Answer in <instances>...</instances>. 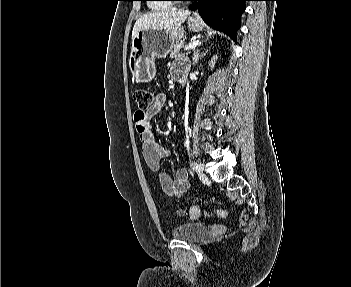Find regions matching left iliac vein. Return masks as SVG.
<instances>
[{
    "mask_svg": "<svg viewBox=\"0 0 351 287\" xmlns=\"http://www.w3.org/2000/svg\"><path fill=\"white\" fill-rule=\"evenodd\" d=\"M196 172H197V175L200 177V178H205V173H204V165L203 164H198V167L196 169Z\"/></svg>",
    "mask_w": 351,
    "mask_h": 287,
    "instance_id": "1",
    "label": "left iliac vein"
}]
</instances>
